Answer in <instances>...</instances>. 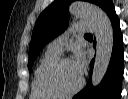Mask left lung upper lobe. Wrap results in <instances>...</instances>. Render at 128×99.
<instances>
[{
  "instance_id": "1",
  "label": "left lung upper lobe",
  "mask_w": 128,
  "mask_h": 99,
  "mask_svg": "<svg viewBox=\"0 0 128 99\" xmlns=\"http://www.w3.org/2000/svg\"><path fill=\"white\" fill-rule=\"evenodd\" d=\"M72 1L55 0L39 15L29 45V71H31L32 65L42 48L66 29L68 25V7ZM103 1L89 0V2L99 7H101Z\"/></svg>"
}]
</instances>
